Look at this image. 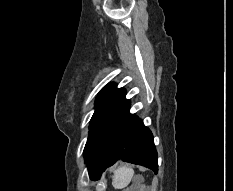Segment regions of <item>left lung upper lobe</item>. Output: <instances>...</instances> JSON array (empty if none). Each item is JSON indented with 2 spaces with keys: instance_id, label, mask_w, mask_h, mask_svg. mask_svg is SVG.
Masks as SVG:
<instances>
[{
  "instance_id": "obj_1",
  "label": "left lung upper lobe",
  "mask_w": 233,
  "mask_h": 191,
  "mask_svg": "<svg viewBox=\"0 0 233 191\" xmlns=\"http://www.w3.org/2000/svg\"><path fill=\"white\" fill-rule=\"evenodd\" d=\"M125 94V89L117 88L114 83L106 85L98 94L95 102V112L90 121L89 136L84 149L85 161L103 130L128 102L125 99Z\"/></svg>"
}]
</instances>
